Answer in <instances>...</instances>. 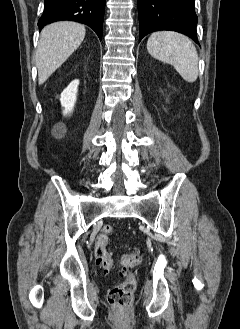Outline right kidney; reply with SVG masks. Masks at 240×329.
<instances>
[{"label":"right kidney","mask_w":240,"mask_h":329,"mask_svg":"<svg viewBox=\"0 0 240 329\" xmlns=\"http://www.w3.org/2000/svg\"><path fill=\"white\" fill-rule=\"evenodd\" d=\"M79 80L72 81L66 89L61 93L60 102L65 108L63 111L64 115H67L73 111L76 96L78 91ZM53 133L56 136H62L66 133V127L62 123H58L53 128Z\"/></svg>","instance_id":"1"}]
</instances>
